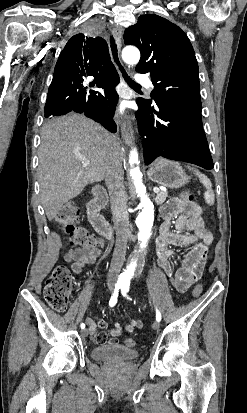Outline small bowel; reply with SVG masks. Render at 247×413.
Returning <instances> with one entry per match:
<instances>
[{"instance_id":"small-bowel-1","label":"small bowel","mask_w":247,"mask_h":413,"mask_svg":"<svg viewBox=\"0 0 247 413\" xmlns=\"http://www.w3.org/2000/svg\"><path fill=\"white\" fill-rule=\"evenodd\" d=\"M201 207L193 202L172 203L169 202L162 208L163 223L156 240L157 264L169 276L171 285L179 292H184L190 285L197 286V281L202 277V269L205 264L207 247L206 238L211 235L202 217ZM177 231H173L172 227ZM212 237V235H211ZM212 242V241H211ZM186 247L190 250L183 258L181 266L174 272L170 264L172 252L169 246ZM101 256L99 247L81 248L70 251L65 256L74 274H80L86 264L96 263ZM88 331L95 333V322L87 319ZM100 327L105 326L103 320L98 321ZM103 325V326H101ZM142 327V321L136 317L129 318L126 325L115 322L114 328L108 336L106 329H101L96 334V343H105L108 336L107 347L116 349L118 347L117 337L124 332H132Z\"/></svg>"}]
</instances>
